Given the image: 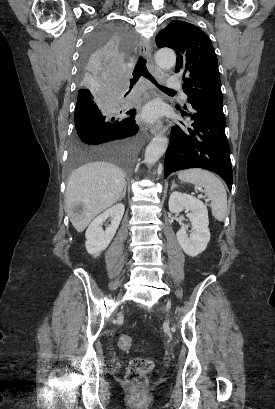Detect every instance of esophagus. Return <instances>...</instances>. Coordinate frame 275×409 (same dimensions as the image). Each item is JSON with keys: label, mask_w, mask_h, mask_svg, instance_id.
Instances as JSON below:
<instances>
[{"label": "esophagus", "mask_w": 275, "mask_h": 409, "mask_svg": "<svg viewBox=\"0 0 275 409\" xmlns=\"http://www.w3.org/2000/svg\"><path fill=\"white\" fill-rule=\"evenodd\" d=\"M139 53L149 58L151 56V42L146 38H141L139 42ZM165 128L162 122H158L155 126L151 127V133L153 135H161L164 134Z\"/></svg>", "instance_id": "1"}]
</instances>
